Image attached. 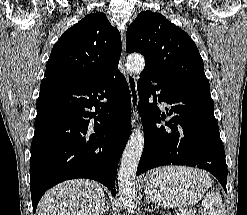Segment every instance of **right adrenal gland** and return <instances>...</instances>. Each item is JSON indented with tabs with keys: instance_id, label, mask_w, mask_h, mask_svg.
<instances>
[{
	"instance_id": "right-adrenal-gland-1",
	"label": "right adrenal gland",
	"mask_w": 247,
	"mask_h": 215,
	"mask_svg": "<svg viewBox=\"0 0 247 215\" xmlns=\"http://www.w3.org/2000/svg\"><path fill=\"white\" fill-rule=\"evenodd\" d=\"M109 210V206H108V204L105 206V209H104V213L106 212V211H108Z\"/></svg>"
}]
</instances>
